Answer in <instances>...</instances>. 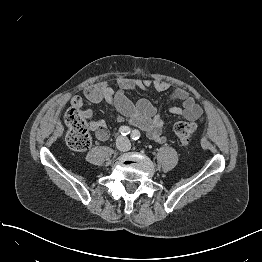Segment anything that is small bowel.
<instances>
[{
  "mask_svg": "<svg viewBox=\"0 0 262 262\" xmlns=\"http://www.w3.org/2000/svg\"><path fill=\"white\" fill-rule=\"evenodd\" d=\"M119 87L118 90H115L104 82L89 85L84 90V96L91 104L104 102L117 114L116 121L118 123H130L146 131L148 137L153 141L165 143L167 137L163 134L164 121L159 115L156 105L145 98L132 100L126 95L125 91L141 89L163 92L169 89L170 82L161 79L122 77L119 80ZM173 99L182 101V104L170 107L168 109L170 115L179 116L194 123L205 120L202 107L187 90L182 88L175 90ZM71 103L77 108L83 106L80 97H73ZM84 114L87 118H91L89 110H85ZM89 128L95 133L98 140L106 141L109 138V131L105 121L90 120Z\"/></svg>",
  "mask_w": 262,
  "mask_h": 262,
  "instance_id": "c3829d8e",
  "label": "small bowel"
}]
</instances>
